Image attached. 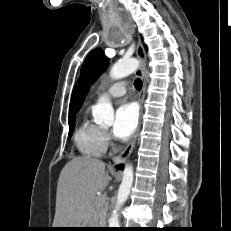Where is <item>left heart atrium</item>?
<instances>
[{"label":"left heart atrium","mask_w":231,"mask_h":231,"mask_svg":"<svg viewBox=\"0 0 231 231\" xmlns=\"http://www.w3.org/2000/svg\"><path fill=\"white\" fill-rule=\"evenodd\" d=\"M138 124V110L133 103L125 102L116 110L113 135L118 139H126L132 135Z\"/></svg>","instance_id":"obj_1"}]
</instances>
